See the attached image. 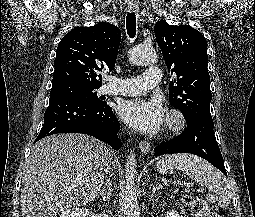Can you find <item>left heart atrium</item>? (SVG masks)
Instances as JSON below:
<instances>
[{
	"label": "left heart atrium",
	"instance_id": "1",
	"mask_svg": "<svg viewBox=\"0 0 255 217\" xmlns=\"http://www.w3.org/2000/svg\"><path fill=\"white\" fill-rule=\"evenodd\" d=\"M118 112L128 126L142 133H155L165 122L164 108L156 99L136 98L124 101Z\"/></svg>",
	"mask_w": 255,
	"mask_h": 217
}]
</instances>
